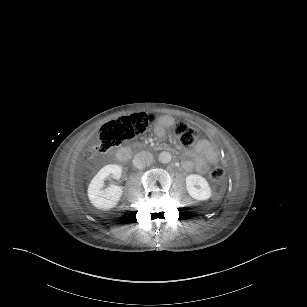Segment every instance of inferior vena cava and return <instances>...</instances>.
<instances>
[{"mask_svg":"<svg viewBox=\"0 0 307 307\" xmlns=\"http://www.w3.org/2000/svg\"><path fill=\"white\" fill-rule=\"evenodd\" d=\"M133 165L136 168L143 169L145 167L141 154H136L133 158Z\"/></svg>","mask_w":307,"mask_h":307,"instance_id":"inferior-vena-cava-1","label":"inferior vena cava"}]
</instances>
